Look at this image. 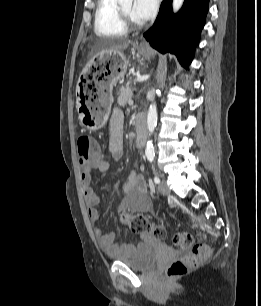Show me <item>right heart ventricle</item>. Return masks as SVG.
<instances>
[{"label":"right heart ventricle","mask_w":261,"mask_h":306,"mask_svg":"<svg viewBox=\"0 0 261 306\" xmlns=\"http://www.w3.org/2000/svg\"><path fill=\"white\" fill-rule=\"evenodd\" d=\"M94 31L98 36L110 38L124 37L127 34L128 29L119 13L118 0H98Z\"/></svg>","instance_id":"1"}]
</instances>
